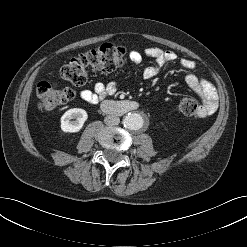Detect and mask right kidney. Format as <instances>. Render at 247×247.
Returning <instances> with one entry per match:
<instances>
[{"label":"right kidney","mask_w":247,"mask_h":247,"mask_svg":"<svg viewBox=\"0 0 247 247\" xmlns=\"http://www.w3.org/2000/svg\"><path fill=\"white\" fill-rule=\"evenodd\" d=\"M87 118L88 114L84 109H69L61 117V129L62 131L69 133L79 132Z\"/></svg>","instance_id":"obj_1"}]
</instances>
